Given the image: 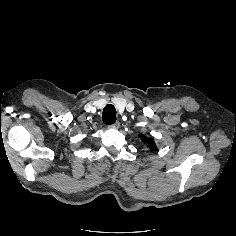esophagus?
I'll return each mask as SVG.
<instances>
[{
    "label": "esophagus",
    "instance_id": "obj_1",
    "mask_svg": "<svg viewBox=\"0 0 236 236\" xmlns=\"http://www.w3.org/2000/svg\"><path fill=\"white\" fill-rule=\"evenodd\" d=\"M110 127L113 129H118L120 127V123L117 121L114 124H112Z\"/></svg>",
    "mask_w": 236,
    "mask_h": 236
}]
</instances>
